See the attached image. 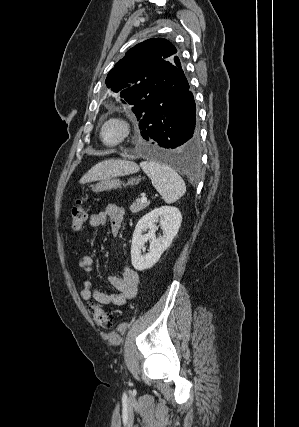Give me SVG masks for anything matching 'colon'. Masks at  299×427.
<instances>
[{
	"instance_id": "5ec220e1",
	"label": "colon",
	"mask_w": 299,
	"mask_h": 427,
	"mask_svg": "<svg viewBox=\"0 0 299 427\" xmlns=\"http://www.w3.org/2000/svg\"><path fill=\"white\" fill-rule=\"evenodd\" d=\"M86 209L82 199H77L70 211V227L73 231H80L86 221ZM90 312L96 325L102 329H109L111 319L108 313L97 304L90 306Z\"/></svg>"
}]
</instances>
